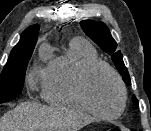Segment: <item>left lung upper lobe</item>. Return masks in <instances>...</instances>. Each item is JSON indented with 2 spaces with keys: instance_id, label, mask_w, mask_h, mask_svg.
Returning <instances> with one entry per match:
<instances>
[{
  "instance_id": "obj_1",
  "label": "left lung upper lobe",
  "mask_w": 151,
  "mask_h": 131,
  "mask_svg": "<svg viewBox=\"0 0 151 131\" xmlns=\"http://www.w3.org/2000/svg\"><path fill=\"white\" fill-rule=\"evenodd\" d=\"M83 31L106 53L112 54L111 58L121 74L124 82L131 85L127 68L123 62L122 54L117 51L116 41L112 38L108 27L103 22L85 20L80 22ZM132 101L139 106L138 99L133 95Z\"/></svg>"
}]
</instances>
